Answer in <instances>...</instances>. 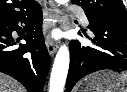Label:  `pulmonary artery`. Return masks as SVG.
<instances>
[{"label":"pulmonary artery","instance_id":"obj_1","mask_svg":"<svg viewBox=\"0 0 127 92\" xmlns=\"http://www.w3.org/2000/svg\"><path fill=\"white\" fill-rule=\"evenodd\" d=\"M73 10L77 13L81 23L84 24V25H87L88 24V19H87V16L85 15V13L82 10H79V9H73Z\"/></svg>","mask_w":127,"mask_h":92}]
</instances>
